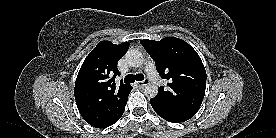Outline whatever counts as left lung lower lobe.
<instances>
[{
    "label": "left lung lower lobe",
    "instance_id": "left-lung-lower-lobe-1",
    "mask_svg": "<svg viewBox=\"0 0 276 138\" xmlns=\"http://www.w3.org/2000/svg\"><path fill=\"white\" fill-rule=\"evenodd\" d=\"M151 106L155 110V112L162 117L163 119L173 122V123H178V122H184L192 118L194 115L185 113V112H180L177 110H174L172 108L166 107L159 102L155 101L152 99L150 101Z\"/></svg>",
    "mask_w": 276,
    "mask_h": 138
}]
</instances>
